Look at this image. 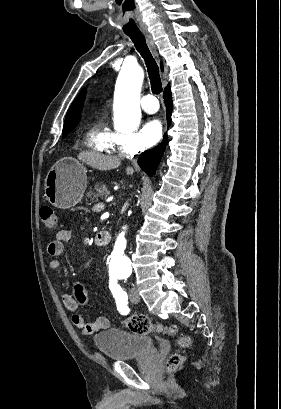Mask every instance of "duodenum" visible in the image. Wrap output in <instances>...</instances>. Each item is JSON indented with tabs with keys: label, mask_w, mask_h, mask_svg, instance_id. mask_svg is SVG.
<instances>
[{
	"label": "duodenum",
	"mask_w": 281,
	"mask_h": 409,
	"mask_svg": "<svg viewBox=\"0 0 281 409\" xmlns=\"http://www.w3.org/2000/svg\"><path fill=\"white\" fill-rule=\"evenodd\" d=\"M96 245L103 247L110 242V234L107 232H100L95 236Z\"/></svg>",
	"instance_id": "1"
}]
</instances>
